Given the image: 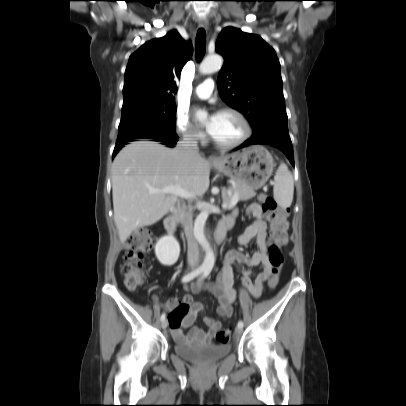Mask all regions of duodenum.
Instances as JSON below:
<instances>
[{
  "label": "duodenum",
  "instance_id": "410a0bca",
  "mask_svg": "<svg viewBox=\"0 0 406 406\" xmlns=\"http://www.w3.org/2000/svg\"><path fill=\"white\" fill-rule=\"evenodd\" d=\"M185 209V204L184 203H180L177 208L169 215L165 218L164 220V228L165 230L170 233V234H174L177 228V223L178 220L182 214V212ZM233 222L230 221H221L214 233V238L217 244H221L225 237H226V233L227 231L232 227Z\"/></svg>",
  "mask_w": 406,
  "mask_h": 406
}]
</instances>
